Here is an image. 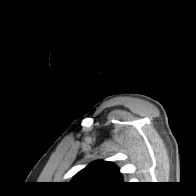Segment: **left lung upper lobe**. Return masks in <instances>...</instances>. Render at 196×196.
Returning <instances> with one entry per match:
<instances>
[{
  "label": "left lung upper lobe",
  "mask_w": 196,
  "mask_h": 196,
  "mask_svg": "<svg viewBox=\"0 0 196 196\" xmlns=\"http://www.w3.org/2000/svg\"><path fill=\"white\" fill-rule=\"evenodd\" d=\"M88 187H104L123 184L119 169L104 161L93 162L81 170L71 182Z\"/></svg>",
  "instance_id": "obj_1"
}]
</instances>
